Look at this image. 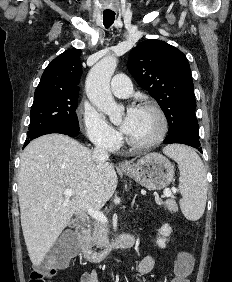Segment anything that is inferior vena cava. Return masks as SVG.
Wrapping results in <instances>:
<instances>
[{
    "label": "inferior vena cava",
    "mask_w": 232,
    "mask_h": 282,
    "mask_svg": "<svg viewBox=\"0 0 232 282\" xmlns=\"http://www.w3.org/2000/svg\"><path fill=\"white\" fill-rule=\"evenodd\" d=\"M92 157L95 162H105L108 160L109 155L105 144L96 143L92 152Z\"/></svg>",
    "instance_id": "inferior-vena-cava-1"
}]
</instances>
